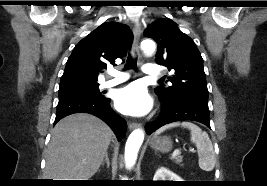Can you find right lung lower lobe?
Masks as SVG:
<instances>
[{"mask_svg": "<svg viewBox=\"0 0 267 186\" xmlns=\"http://www.w3.org/2000/svg\"><path fill=\"white\" fill-rule=\"evenodd\" d=\"M74 113H89L106 122L115 132L118 140L126 133V122L110 107V99L83 94H71L59 98L54 124Z\"/></svg>", "mask_w": 267, "mask_h": 186, "instance_id": "98d812e1", "label": "right lung lower lobe"}]
</instances>
